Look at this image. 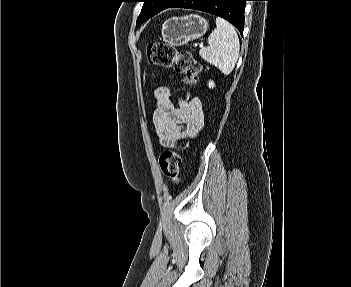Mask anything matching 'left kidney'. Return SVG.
<instances>
[{
  "label": "left kidney",
  "mask_w": 351,
  "mask_h": 287,
  "mask_svg": "<svg viewBox=\"0 0 351 287\" xmlns=\"http://www.w3.org/2000/svg\"><path fill=\"white\" fill-rule=\"evenodd\" d=\"M208 85H209V88H213L214 87V82L213 81H209V83H208Z\"/></svg>",
  "instance_id": "1"
}]
</instances>
